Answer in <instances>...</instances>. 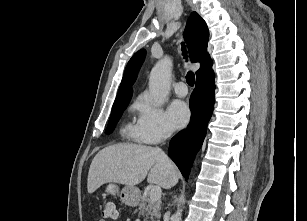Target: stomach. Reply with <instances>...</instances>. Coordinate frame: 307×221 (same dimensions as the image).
I'll return each instance as SVG.
<instances>
[{
  "label": "stomach",
  "instance_id": "stomach-1",
  "mask_svg": "<svg viewBox=\"0 0 307 221\" xmlns=\"http://www.w3.org/2000/svg\"><path fill=\"white\" fill-rule=\"evenodd\" d=\"M105 191L110 195H118L123 203L128 206H136L140 200V191L134 186H124L121 190L118 185L109 183Z\"/></svg>",
  "mask_w": 307,
  "mask_h": 221
}]
</instances>
